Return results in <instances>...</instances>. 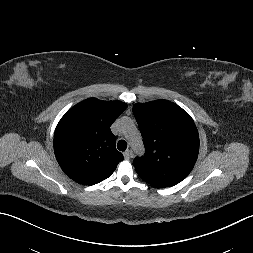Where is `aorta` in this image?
Returning <instances> with one entry per match:
<instances>
[{
    "instance_id": "762f6f07",
    "label": "aorta",
    "mask_w": 253,
    "mask_h": 253,
    "mask_svg": "<svg viewBox=\"0 0 253 253\" xmlns=\"http://www.w3.org/2000/svg\"><path fill=\"white\" fill-rule=\"evenodd\" d=\"M121 126H122L123 130L126 132L134 131L133 123H132V121H130L128 119L123 120L121 123ZM134 132H135V137L132 139L131 144L135 150H140L141 146H142L141 140H140V137L138 136L137 132L136 131H134Z\"/></svg>"
}]
</instances>
